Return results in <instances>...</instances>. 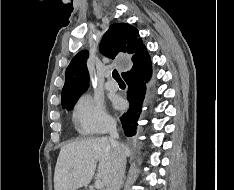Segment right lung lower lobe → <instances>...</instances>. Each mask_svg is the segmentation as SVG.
<instances>
[{"mask_svg": "<svg viewBox=\"0 0 234 190\" xmlns=\"http://www.w3.org/2000/svg\"><path fill=\"white\" fill-rule=\"evenodd\" d=\"M151 74L152 64L146 48L133 61L132 69L122 74L128 85L127 97L130 108L120 120L127 136H133L137 132V121L145 97L146 82L149 81Z\"/></svg>", "mask_w": 234, "mask_h": 190, "instance_id": "right-lung-lower-lobe-1", "label": "right lung lower lobe"}]
</instances>
